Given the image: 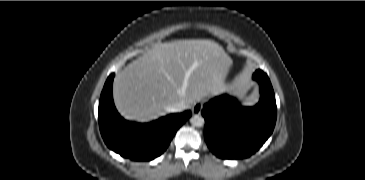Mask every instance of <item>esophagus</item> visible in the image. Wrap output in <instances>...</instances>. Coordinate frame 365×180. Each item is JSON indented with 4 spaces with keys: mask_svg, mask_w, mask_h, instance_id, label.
I'll return each mask as SVG.
<instances>
[{
    "mask_svg": "<svg viewBox=\"0 0 365 180\" xmlns=\"http://www.w3.org/2000/svg\"><path fill=\"white\" fill-rule=\"evenodd\" d=\"M203 104L202 102H196L192 105L191 110L194 115H199L202 111Z\"/></svg>",
    "mask_w": 365,
    "mask_h": 180,
    "instance_id": "obj_1",
    "label": "esophagus"
}]
</instances>
